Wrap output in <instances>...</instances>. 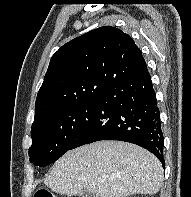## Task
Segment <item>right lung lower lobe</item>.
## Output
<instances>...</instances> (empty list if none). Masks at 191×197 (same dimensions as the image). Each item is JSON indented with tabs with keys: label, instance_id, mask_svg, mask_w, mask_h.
<instances>
[{
	"label": "right lung lower lobe",
	"instance_id": "1",
	"mask_svg": "<svg viewBox=\"0 0 191 197\" xmlns=\"http://www.w3.org/2000/svg\"><path fill=\"white\" fill-rule=\"evenodd\" d=\"M97 102L70 150L100 140L126 141L153 153L164 168L160 112L147 68L108 87Z\"/></svg>",
	"mask_w": 191,
	"mask_h": 197
}]
</instances>
